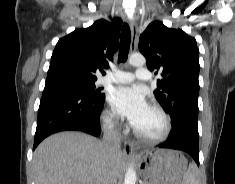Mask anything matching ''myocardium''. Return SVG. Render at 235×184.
<instances>
[{
	"label": "myocardium",
	"instance_id": "1",
	"mask_svg": "<svg viewBox=\"0 0 235 184\" xmlns=\"http://www.w3.org/2000/svg\"><path fill=\"white\" fill-rule=\"evenodd\" d=\"M150 108L159 113L164 120V129L162 133L156 136L148 137L141 135L135 128H133V135L140 142L147 144H159L164 142L170 137L172 132V119L170 115L167 113V111L160 105L151 104Z\"/></svg>",
	"mask_w": 235,
	"mask_h": 184
}]
</instances>
